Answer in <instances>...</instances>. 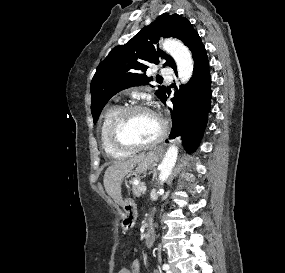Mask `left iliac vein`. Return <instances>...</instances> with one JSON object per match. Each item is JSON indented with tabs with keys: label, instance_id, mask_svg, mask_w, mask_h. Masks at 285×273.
<instances>
[{
	"label": "left iliac vein",
	"instance_id": "left-iliac-vein-1",
	"mask_svg": "<svg viewBox=\"0 0 285 273\" xmlns=\"http://www.w3.org/2000/svg\"><path fill=\"white\" fill-rule=\"evenodd\" d=\"M171 273H180L179 269L176 268L175 266H171Z\"/></svg>",
	"mask_w": 285,
	"mask_h": 273
}]
</instances>
